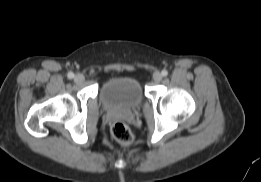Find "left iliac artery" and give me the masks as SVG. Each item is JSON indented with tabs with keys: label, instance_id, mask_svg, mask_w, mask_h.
<instances>
[{
	"label": "left iliac artery",
	"instance_id": "left-iliac-artery-1",
	"mask_svg": "<svg viewBox=\"0 0 261 182\" xmlns=\"http://www.w3.org/2000/svg\"><path fill=\"white\" fill-rule=\"evenodd\" d=\"M161 74H162V76H167L168 75V71L167 70H162Z\"/></svg>",
	"mask_w": 261,
	"mask_h": 182
}]
</instances>
